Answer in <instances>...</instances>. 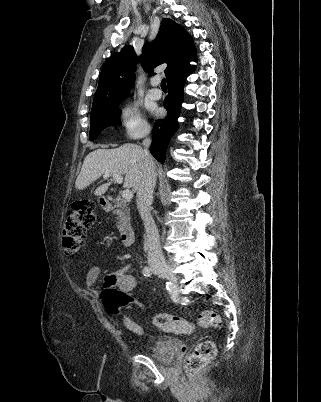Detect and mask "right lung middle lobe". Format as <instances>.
<instances>
[{
  "mask_svg": "<svg viewBox=\"0 0 321 402\" xmlns=\"http://www.w3.org/2000/svg\"><path fill=\"white\" fill-rule=\"evenodd\" d=\"M117 99L109 104L93 107L90 115V140L93 141L106 127L120 124L118 121L121 111L117 109L124 99Z\"/></svg>",
  "mask_w": 321,
  "mask_h": 402,
  "instance_id": "1",
  "label": "right lung middle lobe"
}]
</instances>
